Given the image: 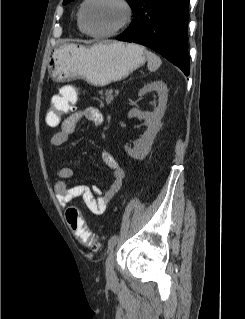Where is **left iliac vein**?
I'll return each instance as SVG.
<instances>
[{"label":"left iliac vein","mask_w":245,"mask_h":319,"mask_svg":"<svg viewBox=\"0 0 245 319\" xmlns=\"http://www.w3.org/2000/svg\"><path fill=\"white\" fill-rule=\"evenodd\" d=\"M114 257H115V251L112 250L105 262V271H106V279L108 282H114L115 281V272H114Z\"/></svg>","instance_id":"left-iliac-vein-1"}]
</instances>
